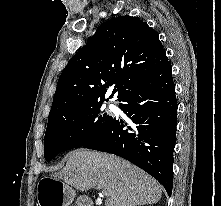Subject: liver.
<instances>
[{
  "label": "liver",
  "mask_w": 221,
  "mask_h": 206,
  "mask_svg": "<svg viewBox=\"0 0 221 206\" xmlns=\"http://www.w3.org/2000/svg\"><path fill=\"white\" fill-rule=\"evenodd\" d=\"M56 176L81 191L101 190L107 197L105 206L154 204L162 196L161 185L149 174L124 159L98 151H71Z\"/></svg>",
  "instance_id": "liver-1"
}]
</instances>
